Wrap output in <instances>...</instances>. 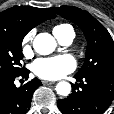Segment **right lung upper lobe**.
Segmentation results:
<instances>
[{
    "label": "right lung upper lobe",
    "mask_w": 114,
    "mask_h": 114,
    "mask_svg": "<svg viewBox=\"0 0 114 114\" xmlns=\"http://www.w3.org/2000/svg\"><path fill=\"white\" fill-rule=\"evenodd\" d=\"M55 17L49 8L14 6L0 13V30L25 36L38 24Z\"/></svg>",
    "instance_id": "obj_1"
}]
</instances>
